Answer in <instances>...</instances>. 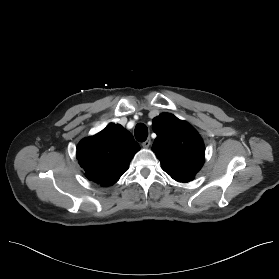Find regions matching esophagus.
Instances as JSON below:
<instances>
[{"label": "esophagus", "instance_id": "34e87169", "mask_svg": "<svg viewBox=\"0 0 279 279\" xmlns=\"http://www.w3.org/2000/svg\"><path fill=\"white\" fill-rule=\"evenodd\" d=\"M150 145H151V139H150V138H148L146 141H144V142L142 143V146H143L144 148H148Z\"/></svg>", "mask_w": 279, "mask_h": 279}]
</instances>
